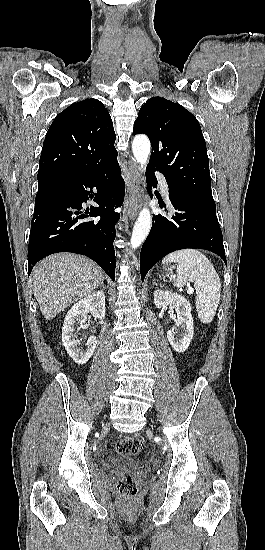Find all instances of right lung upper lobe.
<instances>
[{
	"label": "right lung upper lobe",
	"instance_id": "cb5924a9",
	"mask_svg": "<svg viewBox=\"0 0 265 550\" xmlns=\"http://www.w3.org/2000/svg\"><path fill=\"white\" fill-rule=\"evenodd\" d=\"M116 135L103 103L85 99L62 111L51 124L39 162L40 186L98 172L117 162Z\"/></svg>",
	"mask_w": 265,
	"mask_h": 550
}]
</instances>
